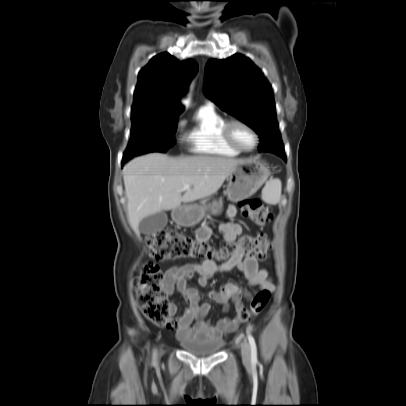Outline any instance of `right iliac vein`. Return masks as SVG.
<instances>
[{
    "mask_svg": "<svg viewBox=\"0 0 406 406\" xmlns=\"http://www.w3.org/2000/svg\"><path fill=\"white\" fill-rule=\"evenodd\" d=\"M156 357H157V351L154 350V352H153V359H156Z\"/></svg>",
    "mask_w": 406,
    "mask_h": 406,
    "instance_id": "1",
    "label": "right iliac vein"
}]
</instances>
